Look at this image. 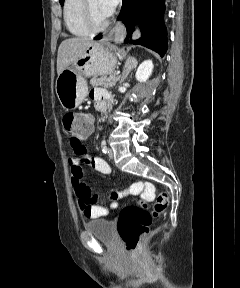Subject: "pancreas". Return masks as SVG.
Segmentation results:
<instances>
[{
    "instance_id": "cf45deb5",
    "label": "pancreas",
    "mask_w": 240,
    "mask_h": 288,
    "mask_svg": "<svg viewBox=\"0 0 240 288\" xmlns=\"http://www.w3.org/2000/svg\"><path fill=\"white\" fill-rule=\"evenodd\" d=\"M120 77L115 76V75H110V76H102L100 78H92L90 80V83L93 86H101L105 88H111L116 85V83L119 81Z\"/></svg>"
}]
</instances>
